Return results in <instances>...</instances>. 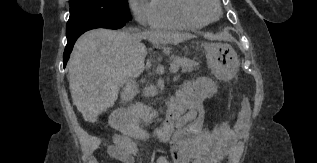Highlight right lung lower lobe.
Wrapping results in <instances>:
<instances>
[{"mask_svg":"<svg viewBox=\"0 0 317 163\" xmlns=\"http://www.w3.org/2000/svg\"><path fill=\"white\" fill-rule=\"evenodd\" d=\"M125 25V22H117V21H101L98 23H95L87 28H84L82 30H79L69 36H67V45L64 51V68L67 64V61L69 59L70 53L73 49L75 41L78 39V37L83 34L85 31L95 29V28H108V29H119Z\"/></svg>","mask_w":317,"mask_h":163,"instance_id":"obj_1","label":"right lung lower lobe"}]
</instances>
